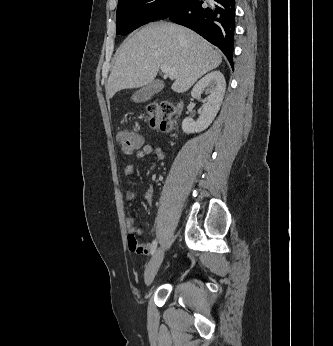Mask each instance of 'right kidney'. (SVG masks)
<instances>
[{"mask_svg":"<svg viewBox=\"0 0 333 346\" xmlns=\"http://www.w3.org/2000/svg\"><path fill=\"white\" fill-rule=\"evenodd\" d=\"M226 89L224 75L220 71H212L200 79L191 91L193 98L199 99L202 93L210 94L203 105L202 113L197 121L185 118L182 122L184 133H197L205 130L215 119Z\"/></svg>","mask_w":333,"mask_h":346,"instance_id":"ca27d5eb","label":"right kidney"}]
</instances>
